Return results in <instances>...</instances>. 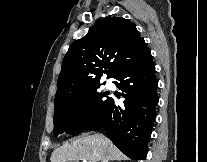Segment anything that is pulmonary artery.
<instances>
[{"mask_svg":"<svg viewBox=\"0 0 207 162\" xmlns=\"http://www.w3.org/2000/svg\"><path fill=\"white\" fill-rule=\"evenodd\" d=\"M113 87H114V85L111 82L106 83V88L112 89Z\"/></svg>","mask_w":207,"mask_h":162,"instance_id":"obj_1","label":"pulmonary artery"}]
</instances>
